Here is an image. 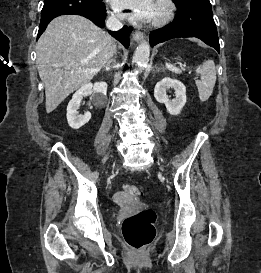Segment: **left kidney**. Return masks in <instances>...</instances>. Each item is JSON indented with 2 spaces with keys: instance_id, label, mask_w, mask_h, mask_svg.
<instances>
[{
  "instance_id": "left-kidney-1",
  "label": "left kidney",
  "mask_w": 261,
  "mask_h": 273,
  "mask_svg": "<svg viewBox=\"0 0 261 273\" xmlns=\"http://www.w3.org/2000/svg\"><path fill=\"white\" fill-rule=\"evenodd\" d=\"M169 88L175 90V98L173 100H170L166 94ZM154 97L157 102L165 104L169 114L178 115L186 103V87L177 79L165 77L156 84Z\"/></svg>"
}]
</instances>
